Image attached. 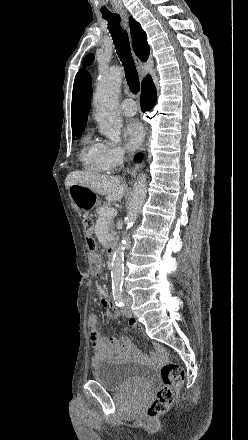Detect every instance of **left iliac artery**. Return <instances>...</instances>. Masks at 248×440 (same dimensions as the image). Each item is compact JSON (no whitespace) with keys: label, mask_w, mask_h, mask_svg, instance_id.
Wrapping results in <instances>:
<instances>
[{"label":"left iliac artery","mask_w":248,"mask_h":440,"mask_svg":"<svg viewBox=\"0 0 248 440\" xmlns=\"http://www.w3.org/2000/svg\"><path fill=\"white\" fill-rule=\"evenodd\" d=\"M112 293L116 306L118 307L124 306V301L122 297V287H114Z\"/></svg>","instance_id":"obj_1"}]
</instances>
